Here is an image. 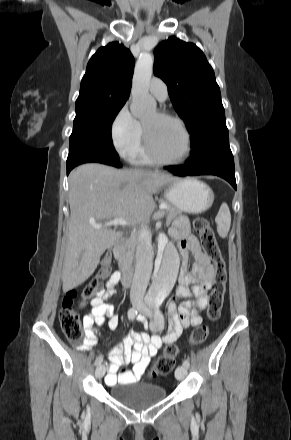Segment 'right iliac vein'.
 <instances>
[{
    "instance_id": "obj_1",
    "label": "right iliac vein",
    "mask_w": 291,
    "mask_h": 440,
    "mask_svg": "<svg viewBox=\"0 0 291 440\" xmlns=\"http://www.w3.org/2000/svg\"><path fill=\"white\" fill-rule=\"evenodd\" d=\"M133 305L137 306L136 302H133ZM105 371H106L105 366L99 365L95 371L96 378H98V379L102 378L105 374Z\"/></svg>"
}]
</instances>
